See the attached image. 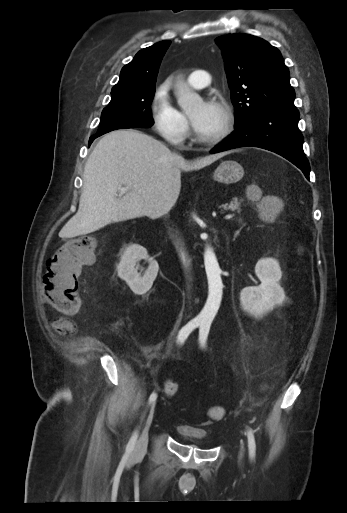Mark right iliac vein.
Instances as JSON below:
<instances>
[{
    "instance_id": "1",
    "label": "right iliac vein",
    "mask_w": 347,
    "mask_h": 513,
    "mask_svg": "<svg viewBox=\"0 0 347 513\" xmlns=\"http://www.w3.org/2000/svg\"><path fill=\"white\" fill-rule=\"evenodd\" d=\"M154 410H155V402H153L152 405L150 406L148 415L146 417L143 431L135 444L133 454L136 457L141 456L146 451L147 444H148V431H149V428H150L152 420H153Z\"/></svg>"
}]
</instances>
